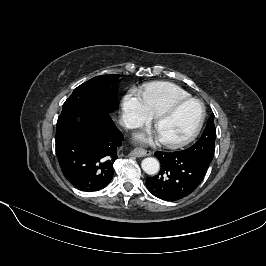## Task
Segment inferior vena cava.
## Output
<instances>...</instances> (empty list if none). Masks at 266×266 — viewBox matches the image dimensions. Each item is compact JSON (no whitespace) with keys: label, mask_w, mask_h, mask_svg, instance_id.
Wrapping results in <instances>:
<instances>
[{"label":"inferior vena cava","mask_w":266,"mask_h":266,"mask_svg":"<svg viewBox=\"0 0 266 266\" xmlns=\"http://www.w3.org/2000/svg\"><path fill=\"white\" fill-rule=\"evenodd\" d=\"M120 124L125 128H135L138 126L137 122L133 118L126 115L121 117Z\"/></svg>","instance_id":"obj_1"}]
</instances>
